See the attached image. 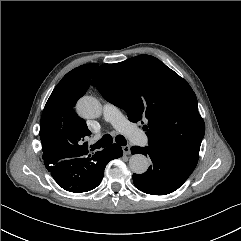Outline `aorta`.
<instances>
[{
	"mask_svg": "<svg viewBox=\"0 0 241 241\" xmlns=\"http://www.w3.org/2000/svg\"><path fill=\"white\" fill-rule=\"evenodd\" d=\"M80 116L87 119H95L102 114L101 103L92 96H83L76 105ZM129 167L135 174H143L149 167V160L143 154H134L129 159Z\"/></svg>",
	"mask_w": 241,
	"mask_h": 241,
	"instance_id": "1",
	"label": "aorta"
}]
</instances>
